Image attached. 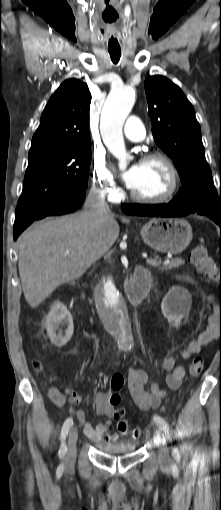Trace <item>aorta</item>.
<instances>
[{
    "mask_svg": "<svg viewBox=\"0 0 221 510\" xmlns=\"http://www.w3.org/2000/svg\"><path fill=\"white\" fill-rule=\"evenodd\" d=\"M134 103L135 89L131 86H122L111 90L101 112L100 131L103 142L119 160L120 166L125 165L128 157L122 127ZM98 306L118 343L125 348L132 346L133 337L127 304L112 278H108L100 284Z\"/></svg>",
    "mask_w": 221,
    "mask_h": 510,
    "instance_id": "obj_1",
    "label": "aorta"
}]
</instances>
